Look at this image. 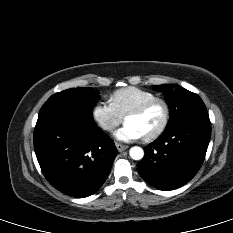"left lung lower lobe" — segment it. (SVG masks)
Returning a JSON list of instances; mask_svg holds the SVG:
<instances>
[{
    "label": "left lung lower lobe",
    "instance_id": "obj_1",
    "mask_svg": "<svg viewBox=\"0 0 233 233\" xmlns=\"http://www.w3.org/2000/svg\"><path fill=\"white\" fill-rule=\"evenodd\" d=\"M211 136L209 118H193L167 128L145 148L138 164L141 177L160 190L189 182L200 169Z\"/></svg>",
    "mask_w": 233,
    "mask_h": 233
}]
</instances>
